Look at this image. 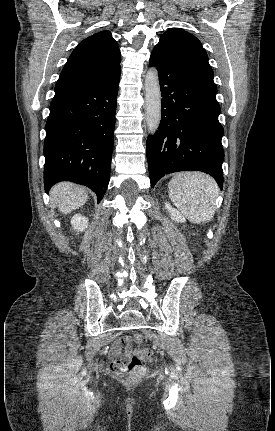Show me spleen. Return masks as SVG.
I'll return each mask as SVG.
<instances>
[{"label": "spleen", "mask_w": 275, "mask_h": 431, "mask_svg": "<svg viewBox=\"0 0 275 431\" xmlns=\"http://www.w3.org/2000/svg\"><path fill=\"white\" fill-rule=\"evenodd\" d=\"M169 198L192 223L210 222L216 210L219 187L209 175L201 172H181L168 185Z\"/></svg>", "instance_id": "spleen-1"}]
</instances>
